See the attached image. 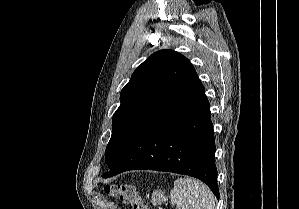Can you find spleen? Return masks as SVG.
Masks as SVG:
<instances>
[{
  "instance_id": "spleen-1",
  "label": "spleen",
  "mask_w": 299,
  "mask_h": 209,
  "mask_svg": "<svg viewBox=\"0 0 299 209\" xmlns=\"http://www.w3.org/2000/svg\"><path fill=\"white\" fill-rule=\"evenodd\" d=\"M171 203L181 209H215L211 190L193 178H178L170 192Z\"/></svg>"
}]
</instances>
